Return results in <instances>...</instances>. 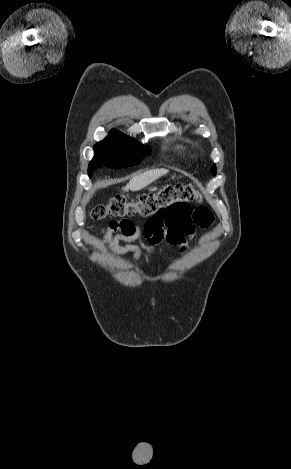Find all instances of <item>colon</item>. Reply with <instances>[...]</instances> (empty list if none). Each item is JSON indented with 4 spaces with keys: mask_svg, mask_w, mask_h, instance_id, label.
Returning a JSON list of instances; mask_svg holds the SVG:
<instances>
[{
    "mask_svg": "<svg viewBox=\"0 0 291 469\" xmlns=\"http://www.w3.org/2000/svg\"><path fill=\"white\" fill-rule=\"evenodd\" d=\"M199 191L187 184L168 185L155 193L141 195L137 199H128L124 196H115L108 203L96 206L92 210L95 220H104L109 217L127 218L138 216L142 218H155L167 210H178L187 207L185 203L199 202ZM199 217L208 215L205 207L196 208Z\"/></svg>",
    "mask_w": 291,
    "mask_h": 469,
    "instance_id": "1",
    "label": "colon"
}]
</instances>
